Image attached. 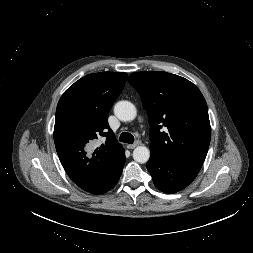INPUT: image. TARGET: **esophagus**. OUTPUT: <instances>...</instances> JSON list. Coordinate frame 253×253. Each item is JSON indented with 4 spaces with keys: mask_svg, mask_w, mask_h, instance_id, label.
<instances>
[{
    "mask_svg": "<svg viewBox=\"0 0 253 253\" xmlns=\"http://www.w3.org/2000/svg\"><path fill=\"white\" fill-rule=\"evenodd\" d=\"M140 144H141L140 141H136V142L133 143V144H129V145H128V148H129V149H134V148H136L137 146H139Z\"/></svg>",
    "mask_w": 253,
    "mask_h": 253,
    "instance_id": "34e87169",
    "label": "esophagus"
}]
</instances>
